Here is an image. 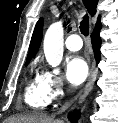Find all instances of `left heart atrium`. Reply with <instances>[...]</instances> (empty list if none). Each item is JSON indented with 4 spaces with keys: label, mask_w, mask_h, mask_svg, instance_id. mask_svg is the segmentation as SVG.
Returning <instances> with one entry per match:
<instances>
[{
    "label": "left heart atrium",
    "mask_w": 118,
    "mask_h": 123,
    "mask_svg": "<svg viewBox=\"0 0 118 123\" xmlns=\"http://www.w3.org/2000/svg\"><path fill=\"white\" fill-rule=\"evenodd\" d=\"M65 71L68 81L74 86L83 83L89 74L86 61L79 56H74L67 61Z\"/></svg>",
    "instance_id": "39dd6f15"
}]
</instances>
